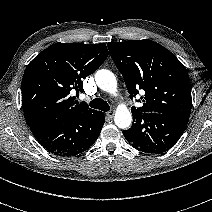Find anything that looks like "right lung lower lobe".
<instances>
[{"mask_svg":"<svg viewBox=\"0 0 212 212\" xmlns=\"http://www.w3.org/2000/svg\"><path fill=\"white\" fill-rule=\"evenodd\" d=\"M103 125L104 115L97 111L63 120H45L30 129L48 152L69 157L88 150L97 140Z\"/></svg>","mask_w":212,"mask_h":212,"instance_id":"obj_1","label":"right lung lower lobe"}]
</instances>
